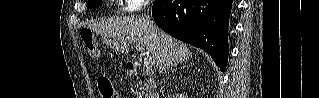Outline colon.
Here are the masks:
<instances>
[{
	"label": "colon",
	"mask_w": 319,
	"mask_h": 98,
	"mask_svg": "<svg viewBox=\"0 0 319 98\" xmlns=\"http://www.w3.org/2000/svg\"><path fill=\"white\" fill-rule=\"evenodd\" d=\"M81 39L86 52L92 57L99 56V50L95 43L93 34L90 30L84 29L81 31ZM97 85L102 98H115L116 94L110 80L104 76L97 79Z\"/></svg>",
	"instance_id": "1"
}]
</instances>
